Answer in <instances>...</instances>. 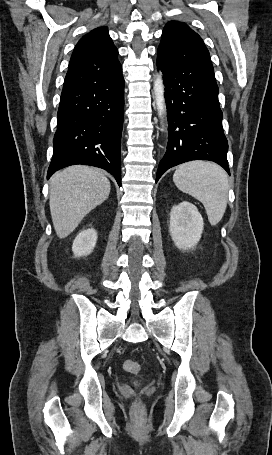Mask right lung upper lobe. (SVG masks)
Here are the masks:
<instances>
[{
  "label": "right lung upper lobe",
  "instance_id": "right-lung-upper-lobe-1",
  "mask_svg": "<svg viewBox=\"0 0 272 455\" xmlns=\"http://www.w3.org/2000/svg\"><path fill=\"white\" fill-rule=\"evenodd\" d=\"M117 56L106 27L84 35L72 53L62 92L121 73Z\"/></svg>",
  "mask_w": 272,
  "mask_h": 455
}]
</instances>
